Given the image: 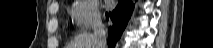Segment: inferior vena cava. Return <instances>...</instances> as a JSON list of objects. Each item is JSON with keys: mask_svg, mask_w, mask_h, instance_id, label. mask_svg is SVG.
Returning a JSON list of instances; mask_svg holds the SVG:
<instances>
[{"mask_svg": "<svg viewBox=\"0 0 213 48\" xmlns=\"http://www.w3.org/2000/svg\"><path fill=\"white\" fill-rule=\"evenodd\" d=\"M93 37L97 48H106V31L100 14H97L94 18Z\"/></svg>", "mask_w": 213, "mask_h": 48, "instance_id": "1", "label": "inferior vena cava"}]
</instances>
